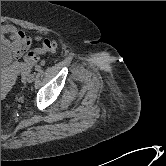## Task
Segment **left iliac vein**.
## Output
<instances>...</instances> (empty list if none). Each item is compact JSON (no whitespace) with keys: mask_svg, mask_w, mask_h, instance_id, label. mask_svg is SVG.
<instances>
[{"mask_svg":"<svg viewBox=\"0 0 166 166\" xmlns=\"http://www.w3.org/2000/svg\"><path fill=\"white\" fill-rule=\"evenodd\" d=\"M26 80L28 83H32L35 80V75L29 74Z\"/></svg>","mask_w":166,"mask_h":166,"instance_id":"obj_1","label":"left iliac vein"}]
</instances>
